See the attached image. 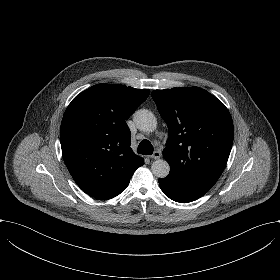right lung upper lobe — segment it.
<instances>
[{"label":"right lung upper lobe","mask_w":280,"mask_h":280,"mask_svg":"<svg viewBox=\"0 0 280 280\" xmlns=\"http://www.w3.org/2000/svg\"><path fill=\"white\" fill-rule=\"evenodd\" d=\"M148 89L97 84L77 95L60 128L65 164L89 196L107 200L129 184L144 159L131 149L126 121L149 96Z\"/></svg>","instance_id":"1"}]
</instances>
